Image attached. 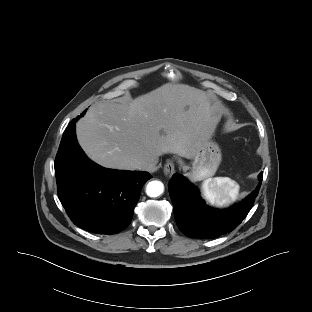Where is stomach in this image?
<instances>
[{
	"instance_id": "1",
	"label": "stomach",
	"mask_w": 312,
	"mask_h": 312,
	"mask_svg": "<svg viewBox=\"0 0 312 312\" xmlns=\"http://www.w3.org/2000/svg\"><path fill=\"white\" fill-rule=\"evenodd\" d=\"M193 161L185 167L187 176L193 181H201L212 177L221 162V150L219 146L208 141L192 158Z\"/></svg>"
}]
</instances>
